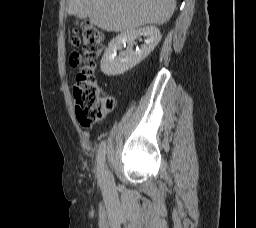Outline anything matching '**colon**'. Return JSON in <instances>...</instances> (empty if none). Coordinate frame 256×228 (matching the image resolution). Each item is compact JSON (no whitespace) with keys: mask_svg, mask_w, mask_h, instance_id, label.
Segmentation results:
<instances>
[{"mask_svg":"<svg viewBox=\"0 0 256 228\" xmlns=\"http://www.w3.org/2000/svg\"><path fill=\"white\" fill-rule=\"evenodd\" d=\"M83 37L84 66L81 68L73 86L76 114L80 122L91 123L104 117L114 107V99L104 96L95 76L96 60L103 51L104 36L90 22L81 23ZM75 31L71 37V44L78 46L80 38ZM82 59L78 52L73 51L69 56V63L76 67Z\"/></svg>","mask_w":256,"mask_h":228,"instance_id":"1","label":"colon"}]
</instances>
